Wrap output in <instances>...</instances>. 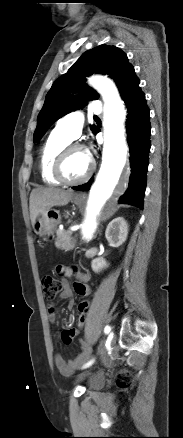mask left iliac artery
Segmentation results:
<instances>
[{
	"label": "left iliac artery",
	"mask_w": 183,
	"mask_h": 438,
	"mask_svg": "<svg viewBox=\"0 0 183 438\" xmlns=\"http://www.w3.org/2000/svg\"><path fill=\"white\" fill-rule=\"evenodd\" d=\"M110 331H111V327L110 326H106L105 329H104L105 334H108ZM93 362H94V360L89 361L87 364H85L83 366V368L89 367L90 365H92Z\"/></svg>",
	"instance_id": "1"
}]
</instances>
